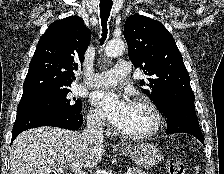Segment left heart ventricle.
<instances>
[{"label": "left heart ventricle", "mask_w": 224, "mask_h": 174, "mask_svg": "<svg viewBox=\"0 0 224 174\" xmlns=\"http://www.w3.org/2000/svg\"><path fill=\"white\" fill-rule=\"evenodd\" d=\"M153 125V117L150 111L138 104L132 103L130 111L119 128L125 133H141L149 130Z\"/></svg>", "instance_id": "left-heart-ventricle-1"}]
</instances>
